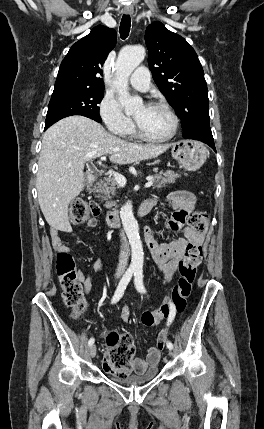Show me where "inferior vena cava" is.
I'll use <instances>...</instances> for the list:
<instances>
[{"label":"inferior vena cava","mask_w":264,"mask_h":429,"mask_svg":"<svg viewBox=\"0 0 264 429\" xmlns=\"http://www.w3.org/2000/svg\"><path fill=\"white\" fill-rule=\"evenodd\" d=\"M121 233L124 231L122 228L119 230ZM124 244H119L117 247L123 251V250H127L126 252H123L120 257H119V263H118V270L120 271H124L128 265V255H130L132 252L131 247L128 246L127 244L129 243L127 240H124L123 242Z\"/></svg>","instance_id":"602c4592"}]
</instances>
